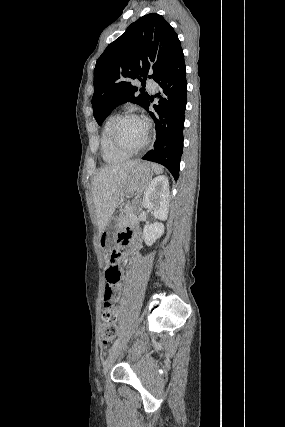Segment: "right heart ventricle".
<instances>
[{
	"mask_svg": "<svg viewBox=\"0 0 285 427\" xmlns=\"http://www.w3.org/2000/svg\"><path fill=\"white\" fill-rule=\"evenodd\" d=\"M115 118L116 115L111 114L105 120L100 134V148L102 157L105 162L110 164L124 162L131 156L129 154L117 150L111 142L110 129Z\"/></svg>",
	"mask_w": 285,
	"mask_h": 427,
	"instance_id": "obj_1",
	"label": "right heart ventricle"
}]
</instances>
